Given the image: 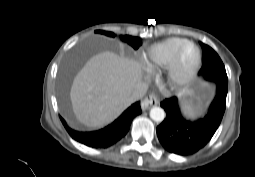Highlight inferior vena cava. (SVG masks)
Segmentation results:
<instances>
[{
  "label": "inferior vena cava",
  "instance_id": "obj_1",
  "mask_svg": "<svg viewBox=\"0 0 255 177\" xmlns=\"http://www.w3.org/2000/svg\"><path fill=\"white\" fill-rule=\"evenodd\" d=\"M147 88V84L142 82L138 83L131 95L127 98V102L131 104L137 100H140L145 95Z\"/></svg>",
  "mask_w": 255,
  "mask_h": 177
}]
</instances>
